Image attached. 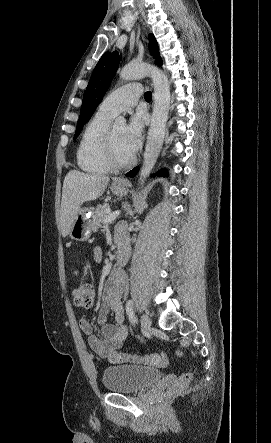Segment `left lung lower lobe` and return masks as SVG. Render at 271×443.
<instances>
[{"mask_svg":"<svg viewBox=\"0 0 271 443\" xmlns=\"http://www.w3.org/2000/svg\"><path fill=\"white\" fill-rule=\"evenodd\" d=\"M156 62L161 65L162 64L161 58H159ZM138 169H139L138 167L134 168L133 170H131L130 172L127 173V176L128 177H134L137 174ZM156 175L159 176V177H165V176H167V172L161 170Z\"/></svg>","mask_w":271,"mask_h":443,"instance_id":"1","label":"left lung lower lobe"}]
</instances>
